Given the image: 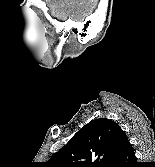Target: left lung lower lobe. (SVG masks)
Instances as JSON below:
<instances>
[{
    "mask_svg": "<svg viewBox=\"0 0 155 167\" xmlns=\"http://www.w3.org/2000/svg\"><path fill=\"white\" fill-rule=\"evenodd\" d=\"M134 152L128 139L122 142L119 154L113 165V167H125L130 164V161L134 160Z\"/></svg>",
    "mask_w": 155,
    "mask_h": 167,
    "instance_id": "obj_1",
    "label": "left lung lower lobe"
}]
</instances>
